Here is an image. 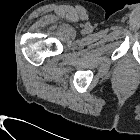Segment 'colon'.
Segmentation results:
<instances>
[{
    "label": "colon",
    "instance_id": "colon-1",
    "mask_svg": "<svg viewBox=\"0 0 140 140\" xmlns=\"http://www.w3.org/2000/svg\"><path fill=\"white\" fill-rule=\"evenodd\" d=\"M128 86V83L126 81H120L119 82V87L121 89H125Z\"/></svg>",
    "mask_w": 140,
    "mask_h": 140
}]
</instances>
